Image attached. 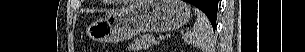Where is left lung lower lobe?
Segmentation results:
<instances>
[{
  "label": "left lung lower lobe",
  "instance_id": "obj_1",
  "mask_svg": "<svg viewBox=\"0 0 305 52\" xmlns=\"http://www.w3.org/2000/svg\"><path fill=\"white\" fill-rule=\"evenodd\" d=\"M186 2L198 7L204 12V9H215L218 8V0H186ZM215 30L216 24L212 25Z\"/></svg>",
  "mask_w": 305,
  "mask_h": 52
}]
</instances>
